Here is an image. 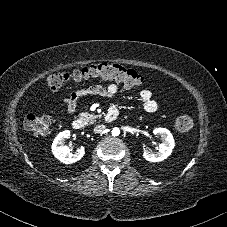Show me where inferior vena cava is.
<instances>
[{"label":"inferior vena cava","mask_w":227,"mask_h":227,"mask_svg":"<svg viewBox=\"0 0 227 227\" xmlns=\"http://www.w3.org/2000/svg\"><path fill=\"white\" fill-rule=\"evenodd\" d=\"M106 129L105 125H97L94 127V132L95 133H102Z\"/></svg>","instance_id":"inferior-vena-cava-1"}]
</instances>
